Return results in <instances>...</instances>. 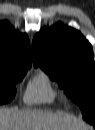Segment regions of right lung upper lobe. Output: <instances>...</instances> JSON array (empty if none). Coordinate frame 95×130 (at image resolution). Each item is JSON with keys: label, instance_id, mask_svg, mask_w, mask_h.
Returning <instances> with one entry per match:
<instances>
[{"label": "right lung upper lobe", "instance_id": "obj_1", "mask_svg": "<svg viewBox=\"0 0 95 130\" xmlns=\"http://www.w3.org/2000/svg\"><path fill=\"white\" fill-rule=\"evenodd\" d=\"M32 52L26 34L19 33L7 22L0 24V69H28Z\"/></svg>", "mask_w": 95, "mask_h": 130}]
</instances>
